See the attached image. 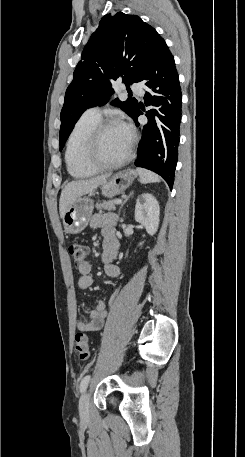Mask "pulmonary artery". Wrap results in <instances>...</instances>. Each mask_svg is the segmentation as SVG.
Returning <instances> with one entry per match:
<instances>
[{"instance_id": "pulmonary-artery-1", "label": "pulmonary artery", "mask_w": 245, "mask_h": 457, "mask_svg": "<svg viewBox=\"0 0 245 457\" xmlns=\"http://www.w3.org/2000/svg\"><path fill=\"white\" fill-rule=\"evenodd\" d=\"M130 90L134 91V96L138 102H143L145 100V95L143 94L142 83L141 81H130L129 83ZM84 114L99 117L100 116V109L97 107H91L85 111Z\"/></svg>"}]
</instances>
